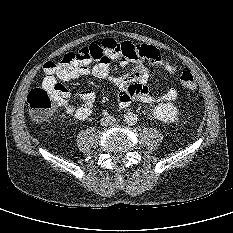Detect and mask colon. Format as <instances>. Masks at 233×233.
<instances>
[{"label":"colon","mask_w":233,"mask_h":233,"mask_svg":"<svg viewBox=\"0 0 233 233\" xmlns=\"http://www.w3.org/2000/svg\"><path fill=\"white\" fill-rule=\"evenodd\" d=\"M103 56V46L93 43L84 46L77 52H69L58 61H49L46 65L50 68L67 67L80 60L100 59ZM181 84L188 90L196 89V82L190 69L184 68L180 75ZM27 102L31 117L36 121H43L50 117L56 110L59 100L55 94L44 87L30 91Z\"/></svg>","instance_id":"1"}]
</instances>
